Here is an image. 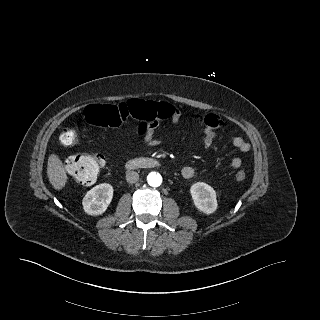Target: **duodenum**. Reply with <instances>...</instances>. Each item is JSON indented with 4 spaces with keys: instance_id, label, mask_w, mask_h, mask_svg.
<instances>
[{
    "instance_id": "410a0bca",
    "label": "duodenum",
    "mask_w": 320,
    "mask_h": 320,
    "mask_svg": "<svg viewBox=\"0 0 320 320\" xmlns=\"http://www.w3.org/2000/svg\"><path fill=\"white\" fill-rule=\"evenodd\" d=\"M160 165V162L153 158H137L130 160L127 163V167L130 169H136V168H154L158 167Z\"/></svg>"
}]
</instances>
